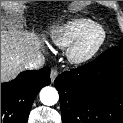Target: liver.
<instances>
[{
    "instance_id": "6515ba94",
    "label": "liver",
    "mask_w": 123,
    "mask_h": 123,
    "mask_svg": "<svg viewBox=\"0 0 123 123\" xmlns=\"http://www.w3.org/2000/svg\"><path fill=\"white\" fill-rule=\"evenodd\" d=\"M41 54L33 35L16 27H1V82L9 81L25 69L24 64Z\"/></svg>"
}]
</instances>
